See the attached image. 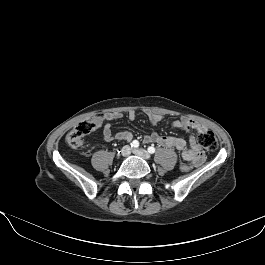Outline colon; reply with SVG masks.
<instances>
[{"label": "colon", "instance_id": "1", "mask_svg": "<svg viewBox=\"0 0 265 265\" xmlns=\"http://www.w3.org/2000/svg\"><path fill=\"white\" fill-rule=\"evenodd\" d=\"M104 120L105 116L99 114L79 123L68 133L66 137L68 145L73 148L81 147L84 137L96 129ZM198 140L202 147L208 151H215L218 147L217 137L212 131L206 130L200 132L198 135Z\"/></svg>", "mask_w": 265, "mask_h": 265}]
</instances>
